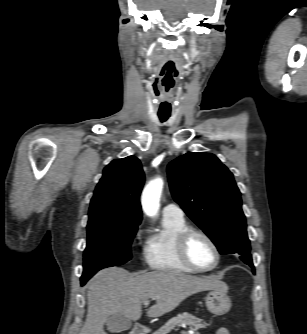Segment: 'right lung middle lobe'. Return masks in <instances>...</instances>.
Here are the masks:
<instances>
[{"instance_id": "1", "label": "right lung middle lobe", "mask_w": 307, "mask_h": 334, "mask_svg": "<svg viewBox=\"0 0 307 334\" xmlns=\"http://www.w3.org/2000/svg\"><path fill=\"white\" fill-rule=\"evenodd\" d=\"M138 225L124 222L88 223L81 281L86 283L98 270L119 266L130 260V246Z\"/></svg>"}]
</instances>
